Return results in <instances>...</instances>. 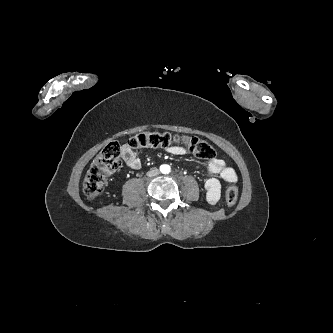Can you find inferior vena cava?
Instances as JSON below:
<instances>
[{
  "label": "inferior vena cava",
  "mask_w": 333,
  "mask_h": 333,
  "mask_svg": "<svg viewBox=\"0 0 333 333\" xmlns=\"http://www.w3.org/2000/svg\"><path fill=\"white\" fill-rule=\"evenodd\" d=\"M158 174H159V170L157 168L152 169L147 172V176H149V177H154V176H157Z\"/></svg>",
  "instance_id": "inferior-vena-cava-1"
}]
</instances>
